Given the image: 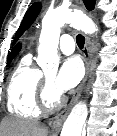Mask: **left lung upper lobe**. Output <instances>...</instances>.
Instances as JSON below:
<instances>
[{"mask_svg":"<svg viewBox=\"0 0 117 136\" xmlns=\"http://www.w3.org/2000/svg\"><path fill=\"white\" fill-rule=\"evenodd\" d=\"M84 4L86 8L89 11H91L94 9L95 0H84ZM40 9H41V4L36 2L27 10L20 27L16 32L14 43L18 40V38L22 35V33L33 23Z\"/></svg>","mask_w":117,"mask_h":136,"instance_id":"1","label":"left lung upper lobe"}]
</instances>
